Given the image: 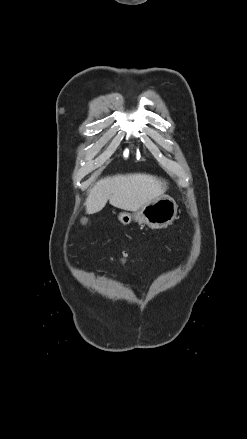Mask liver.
<instances>
[{"label": "liver", "instance_id": "obj_1", "mask_svg": "<svg viewBox=\"0 0 247 439\" xmlns=\"http://www.w3.org/2000/svg\"><path fill=\"white\" fill-rule=\"evenodd\" d=\"M167 183L156 176L144 173L118 174L100 179L90 189L85 206L88 214L101 211L107 201L114 207L137 211L159 197Z\"/></svg>", "mask_w": 247, "mask_h": 439}]
</instances>
